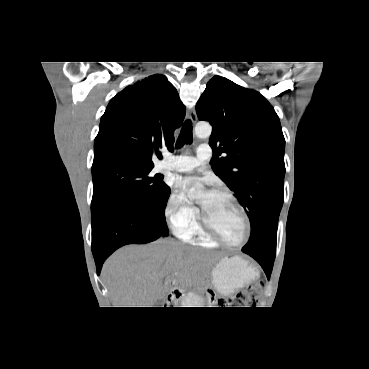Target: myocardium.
Listing matches in <instances>:
<instances>
[{"mask_svg":"<svg viewBox=\"0 0 369 369\" xmlns=\"http://www.w3.org/2000/svg\"><path fill=\"white\" fill-rule=\"evenodd\" d=\"M213 194L228 198L239 209V211L241 212L243 216L244 223H245V235H244V238L239 242H231V241L224 239L214 230V228L208 222L203 212L200 210L199 211V226L201 230L208 238L222 245H225L228 247H241L245 245L249 241L250 236H251V222H250V218H249L247 211L232 193L225 191V190H216L213 192Z\"/></svg>","mask_w":369,"mask_h":369,"instance_id":"1","label":"myocardium"}]
</instances>
